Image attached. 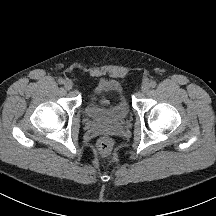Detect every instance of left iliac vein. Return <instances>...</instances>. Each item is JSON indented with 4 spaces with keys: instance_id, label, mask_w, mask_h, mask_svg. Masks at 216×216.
<instances>
[{
    "instance_id": "obj_1",
    "label": "left iliac vein",
    "mask_w": 216,
    "mask_h": 216,
    "mask_svg": "<svg viewBox=\"0 0 216 216\" xmlns=\"http://www.w3.org/2000/svg\"><path fill=\"white\" fill-rule=\"evenodd\" d=\"M149 89H150V84H148V83L143 84L141 87V90L143 93H147L149 91Z\"/></svg>"
}]
</instances>
